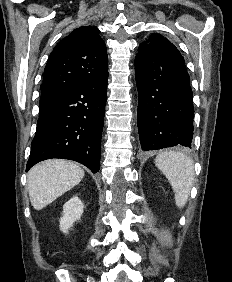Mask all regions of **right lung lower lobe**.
I'll list each match as a JSON object with an SVG mask.
<instances>
[{
	"mask_svg": "<svg viewBox=\"0 0 232 282\" xmlns=\"http://www.w3.org/2000/svg\"><path fill=\"white\" fill-rule=\"evenodd\" d=\"M108 73L65 91L39 115L28 171L49 158H63L99 171Z\"/></svg>",
	"mask_w": 232,
	"mask_h": 282,
	"instance_id": "right-lung-lower-lobe-1",
	"label": "right lung lower lobe"
}]
</instances>
